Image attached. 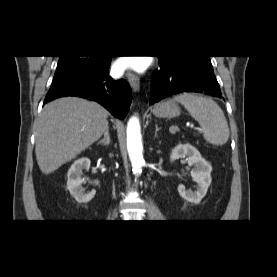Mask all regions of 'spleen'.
Listing matches in <instances>:
<instances>
[{
	"label": "spleen",
	"instance_id": "1",
	"mask_svg": "<svg viewBox=\"0 0 277 277\" xmlns=\"http://www.w3.org/2000/svg\"><path fill=\"white\" fill-rule=\"evenodd\" d=\"M181 103L190 115L198 121L204 139L216 146L224 145L229 138V127L219 105L209 97L183 93L173 98Z\"/></svg>",
	"mask_w": 277,
	"mask_h": 277
}]
</instances>
